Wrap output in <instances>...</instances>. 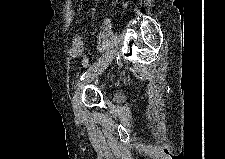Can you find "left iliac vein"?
<instances>
[{"instance_id":"left-iliac-vein-1","label":"left iliac vein","mask_w":225,"mask_h":159,"mask_svg":"<svg viewBox=\"0 0 225 159\" xmlns=\"http://www.w3.org/2000/svg\"><path fill=\"white\" fill-rule=\"evenodd\" d=\"M117 50L113 49L101 62L99 66L94 68L85 78L83 81H81L78 86L77 90L72 98V107L74 114L77 118L81 117V110H80V99H81V94L84 86L91 81H93L97 76L102 74L106 68L109 66L113 58L116 56Z\"/></svg>"}]
</instances>
